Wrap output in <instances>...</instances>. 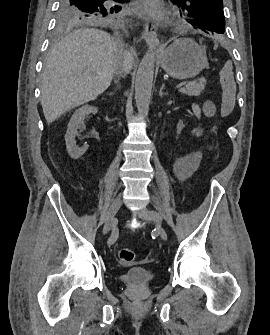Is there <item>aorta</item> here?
I'll use <instances>...</instances> for the list:
<instances>
[{"label":"aorta","instance_id":"obj_1","mask_svg":"<svg viewBox=\"0 0 270 335\" xmlns=\"http://www.w3.org/2000/svg\"><path fill=\"white\" fill-rule=\"evenodd\" d=\"M155 48H149L146 52L136 74L135 100L140 116H147L153 86Z\"/></svg>","mask_w":270,"mask_h":335}]
</instances>
